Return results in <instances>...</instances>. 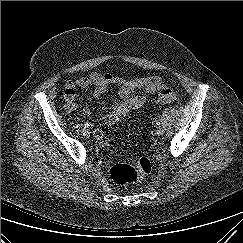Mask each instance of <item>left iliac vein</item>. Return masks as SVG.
Returning <instances> with one entry per match:
<instances>
[{"label":"left iliac vein","instance_id":"4c4485c4","mask_svg":"<svg viewBox=\"0 0 243 243\" xmlns=\"http://www.w3.org/2000/svg\"><path fill=\"white\" fill-rule=\"evenodd\" d=\"M156 132L158 135H162L164 134V128L162 126H158Z\"/></svg>","mask_w":243,"mask_h":243}]
</instances>
